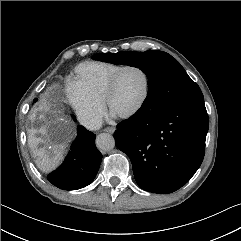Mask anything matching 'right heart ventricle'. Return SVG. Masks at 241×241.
<instances>
[{
	"mask_svg": "<svg viewBox=\"0 0 241 241\" xmlns=\"http://www.w3.org/2000/svg\"><path fill=\"white\" fill-rule=\"evenodd\" d=\"M123 65L111 62H86L76 68V81L96 100L103 102L107 85Z\"/></svg>",
	"mask_w": 241,
	"mask_h": 241,
	"instance_id": "right-heart-ventricle-1",
	"label": "right heart ventricle"
}]
</instances>
